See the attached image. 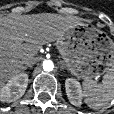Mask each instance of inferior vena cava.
Listing matches in <instances>:
<instances>
[{"label": "inferior vena cava", "mask_w": 114, "mask_h": 114, "mask_svg": "<svg viewBox=\"0 0 114 114\" xmlns=\"http://www.w3.org/2000/svg\"><path fill=\"white\" fill-rule=\"evenodd\" d=\"M25 64H26L27 66H32V65L35 64V61H34V60H27V61L25 62Z\"/></svg>", "instance_id": "inferior-vena-cava-1"}]
</instances>
